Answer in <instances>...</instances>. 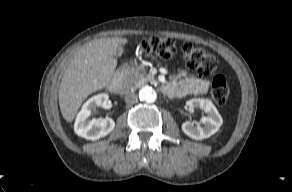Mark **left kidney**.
Instances as JSON below:
<instances>
[{
    "label": "left kidney",
    "mask_w": 292,
    "mask_h": 192,
    "mask_svg": "<svg viewBox=\"0 0 292 192\" xmlns=\"http://www.w3.org/2000/svg\"><path fill=\"white\" fill-rule=\"evenodd\" d=\"M189 109L199 108L207 113L201 121L204 127H195L193 123L186 121L182 124L183 132L192 139L202 140L215 134L221 127L223 119L217 108L209 99L193 98L186 103Z\"/></svg>",
    "instance_id": "1"
}]
</instances>
